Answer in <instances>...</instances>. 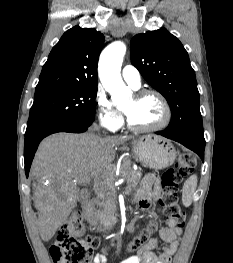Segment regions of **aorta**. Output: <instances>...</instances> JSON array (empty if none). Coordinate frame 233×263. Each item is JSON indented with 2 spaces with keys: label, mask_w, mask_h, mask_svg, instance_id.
<instances>
[{
  "label": "aorta",
  "mask_w": 233,
  "mask_h": 263,
  "mask_svg": "<svg viewBox=\"0 0 233 263\" xmlns=\"http://www.w3.org/2000/svg\"><path fill=\"white\" fill-rule=\"evenodd\" d=\"M125 53V44L116 41L104 49L99 61L100 80L105 90L111 94L113 101L118 104L127 101L131 95L120 74Z\"/></svg>",
  "instance_id": "1"
}]
</instances>
